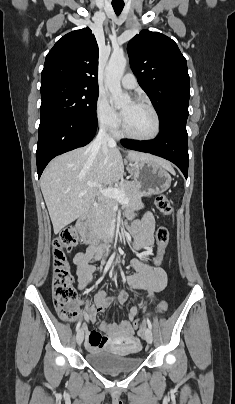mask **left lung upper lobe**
Wrapping results in <instances>:
<instances>
[{
    "label": "left lung upper lobe",
    "mask_w": 235,
    "mask_h": 404,
    "mask_svg": "<svg viewBox=\"0 0 235 404\" xmlns=\"http://www.w3.org/2000/svg\"><path fill=\"white\" fill-rule=\"evenodd\" d=\"M133 73L160 116V128L185 124L190 83L187 62L171 38L142 30L127 47Z\"/></svg>",
    "instance_id": "left-lung-upper-lobe-1"
}]
</instances>
